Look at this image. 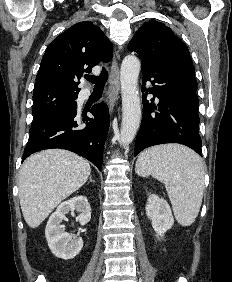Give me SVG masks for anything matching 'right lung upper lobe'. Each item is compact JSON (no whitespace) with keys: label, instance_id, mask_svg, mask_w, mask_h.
Here are the masks:
<instances>
[{"label":"right lung upper lobe","instance_id":"1","mask_svg":"<svg viewBox=\"0 0 232 282\" xmlns=\"http://www.w3.org/2000/svg\"><path fill=\"white\" fill-rule=\"evenodd\" d=\"M113 55L110 40L91 22H80L61 33L47 47L36 76L34 91L79 93V80L99 62Z\"/></svg>","mask_w":232,"mask_h":282}]
</instances>
